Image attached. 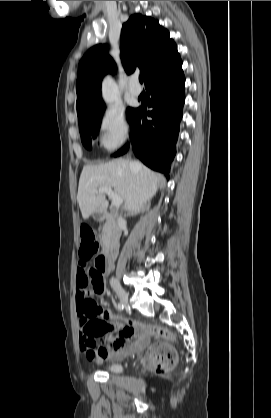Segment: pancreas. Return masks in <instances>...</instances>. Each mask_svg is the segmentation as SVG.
I'll return each instance as SVG.
<instances>
[{
	"label": "pancreas",
	"instance_id": "cf45deb5",
	"mask_svg": "<svg viewBox=\"0 0 271 418\" xmlns=\"http://www.w3.org/2000/svg\"><path fill=\"white\" fill-rule=\"evenodd\" d=\"M109 235H110V230H109V228H108V227H105V228L103 229V233H102V239H101V241H102V242H104V241L106 240V238H107V237H109Z\"/></svg>",
	"mask_w": 271,
	"mask_h": 418
}]
</instances>
